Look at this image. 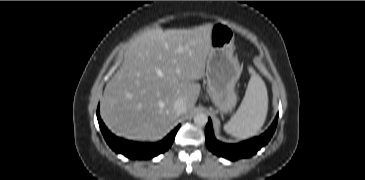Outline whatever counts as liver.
Here are the masks:
<instances>
[{
    "instance_id": "obj_1",
    "label": "liver",
    "mask_w": 365,
    "mask_h": 180,
    "mask_svg": "<svg viewBox=\"0 0 365 180\" xmlns=\"http://www.w3.org/2000/svg\"><path fill=\"white\" fill-rule=\"evenodd\" d=\"M212 24L192 29L150 30L125 52L107 83L101 114L108 128L132 140H157L175 125L177 98L191 111L205 74Z\"/></svg>"
}]
</instances>
